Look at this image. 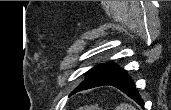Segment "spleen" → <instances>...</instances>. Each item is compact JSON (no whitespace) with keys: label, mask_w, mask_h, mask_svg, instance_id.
Wrapping results in <instances>:
<instances>
[{"label":"spleen","mask_w":171,"mask_h":110,"mask_svg":"<svg viewBox=\"0 0 171 110\" xmlns=\"http://www.w3.org/2000/svg\"><path fill=\"white\" fill-rule=\"evenodd\" d=\"M116 110H136V108L128 103H121Z\"/></svg>","instance_id":"1"}]
</instances>
